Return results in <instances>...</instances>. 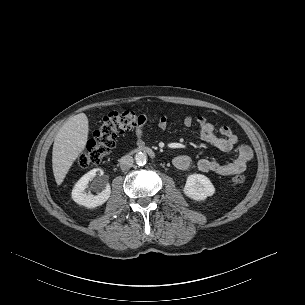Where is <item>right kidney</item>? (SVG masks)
Returning <instances> with one entry per match:
<instances>
[{
	"label": "right kidney",
	"instance_id": "right-kidney-1",
	"mask_svg": "<svg viewBox=\"0 0 305 305\" xmlns=\"http://www.w3.org/2000/svg\"><path fill=\"white\" fill-rule=\"evenodd\" d=\"M97 173L102 175L103 171L101 169H93L83 175L75 184L72 190V199L77 204L83 205L87 208H95L104 204L109 199L111 188L108 183L98 186V188H102V191L97 195L85 192L86 188L88 187V183L92 181Z\"/></svg>",
	"mask_w": 305,
	"mask_h": 305
}]
</instances>
